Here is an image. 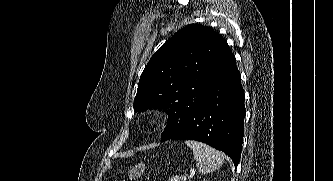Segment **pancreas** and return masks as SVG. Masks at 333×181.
<instances>
[{
	"label": "pancreas",
	"instance_id": "cf45deb5",
	"mask_svg": "<svg viewBox=\"0 0 333 181\" xmlns=\"http://www.w3.org/2000/svg\"><path fill=\"white\" fill-rule=\"evenodd\" d=\"M168 181H181V178L179 176H174L170 178Z\"/></svg>",
	"mask_w": 333,
	"mask_h": 181
}]
</instances>
